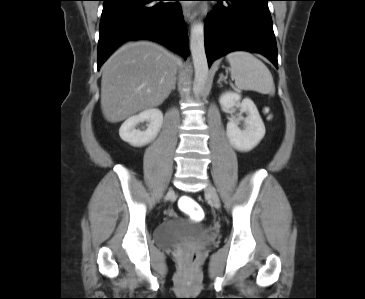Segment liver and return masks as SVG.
<instances>
[{
    "label": "liver",
    "mask_w": 365,
    "mask_h": 299,
    "mask_svg": "<svg viewBox=\"0 0 365 299\" xmlns=\"http://www.w3.org/2000/svg\"><path fill=\"white\" fill-rule=\"evenodd\" d=\"M178 57L150 41L128 42L103 65L101 109L106 120L120 122L161 105L169 96Z\"/></svg>",
    "instance_id": "obj_1"
}]
</instances>
